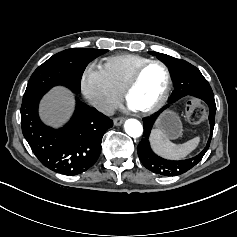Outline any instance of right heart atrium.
<instances>
[{
	"label": "right heart atrium",
	"instance_id": "1",
	"mask_svg": "<svg viewBox=\"0 0 237 237\" xmlns=\"http://www.w3.org/2000/svg\"><path fill=\"white\" fill-rule=\"evenodd\" d=\"M80 86L86 100L102 114L113 112L121 100V93L112 85L104 69L95 64L84 69Z\"/></svg>",
	"mask_w": 237,
	"mask_h": 237
}]
</instances>
